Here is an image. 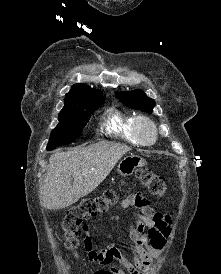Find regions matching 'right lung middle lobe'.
<instances>
[{"mask_svg":"<svg viewBox=\"0 0 221 274\" xmlns=\"http://www.w3.org/2000/svg\"><path fill=\"white\" fill-rule=\"evenodd\" d=\"M103 95L81 98L74 103H65L59 113V124L51 132L47 150L68 144L77 139L90 119V114L104 102Z\"/></svg>","mask_w":221,"mask_h":274,"instance_id":"obj_1","label":"right lung middle lobe"}]
</instances>
